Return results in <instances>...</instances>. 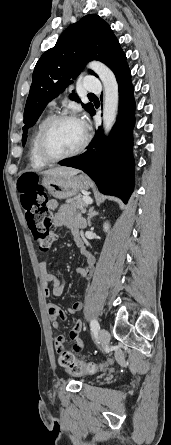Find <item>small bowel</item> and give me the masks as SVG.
Listing matches in <instances>:
<instances>
[{"label":"small bowel","instance_id":"small-bowel-1","mask_svg":"<svg viewBox=\"0 0 171 445\" xmlns=\"http://www.w3.org/2000/svg\"><path fill=\"white\" fill-rule=\"evenodd\" d=\"M49 209L57 210L53 217V224L57 227H68L71 229L74 239L77 245L80 247L82 254L85 256L87 265L80 267L78 269L79 275L87 280L90 278L92 273L95 258L94 256L84 247L83 241L80 237V230L85 226V219L80 215H74L70 211L63 209L56 200H49L47 203ZM40 281L43 286V293L45 296L53 295L55 297H61L65 291V284L61 281L60 277L49 272L45 262H40L39 266ZM82 308L81 301H75L69 308L70 314H76ZM47 315L54 328H59L60 320L66 319L65 312L57 305L53 303L46 304ZM82 330V322L76 320L73 327L69 331V337L74 341L73 350H82L84 344L80 338V333ZM64 337L60 334L54 335V345L57 350L63 348Z\"/></svg>","mask_w":171,"mask_h":445}]
</instances>
